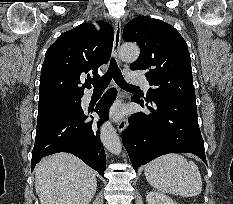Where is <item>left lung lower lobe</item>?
<instances>
[{
    "instance_id": "left-lung-lower-lobe-1",
    "label": "left lung lower lobe",
    "mask_w": 233,
    "mask_h": 204,
    "mask_svg": "<svg viewBox=\"0 0 233 204\" xmlns=\"http://www.w3.org/2000/svg\"><path fill=\"white\" fill-rule=\"evenodd\" d=\"M151 113H135L122 133L133 168L168 153H193L206 164L195 99L160 96L147 101L132 98Z\"/></svg>"
}]
</instances>
